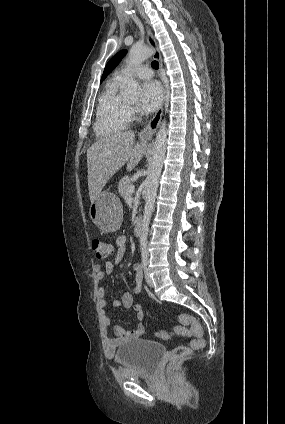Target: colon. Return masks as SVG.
I'll return each instance as SVG.
<instances>
[{
    "instance_id": "1",
    "label": "colon",
    "mask_w": 285,
    "mask_h": 424,
    "mask_svg": "<svg viewBox=\"0 0 285 424\" xmlns=\"http://www.w3.org/2000/svg\"><path fill=\"white\" fill-rule=\"evenodd\" d=\"M92 248L98 259L107 258L113 251L112 245L101 239L93 240ZM179 319L182 324L190 327L195 338L191 340L188 345H180L176 347L171 354V360L185 358L190 355L193 350L203 348L205 344L202 338V327L194 317L183 314L180 315ZM189 333L190 332L184 327H176L172 330H160L156 335L161 339H169L172 335L187 336Z\"/></svg>"
}]
</instances>
